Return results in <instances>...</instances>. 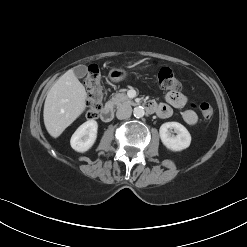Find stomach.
<instances>
[{
  "label": "stomach",
  "instance_id": "stomach-1",
  "mask_svg": "<svg viewBox=\"0 0 247 247\" xmlns=\"http://www.w3.org/2000/svg\"><path fill=\"white\" fill-rule=\"evenodd\" d=\"M128 76V73L121 68H113L109 72V78L113 82H120Z\"/></svg>",
  "mask_w": 247,
  "mask_h": 247
}]
</instances>
